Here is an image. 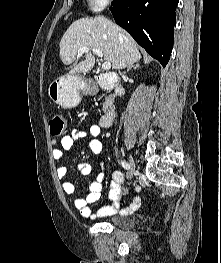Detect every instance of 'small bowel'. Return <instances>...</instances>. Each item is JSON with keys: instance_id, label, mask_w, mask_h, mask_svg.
<instances>
[{"instance_id": "small-bowel-1", "label": "small bowel", "mask_w": 221, "mask_h": 263, "mask_svg": "<svg viewBox=\"0 0 221 263\" xmlns=\"http://www.w3.org/2000/svg\"><path fill=\"white\" fill-rule=\"evenodd\" d=\"M101 126L98 124L92 125L88 130L80 128L73 129L68 135L64 136L59 142L54 141L52 147V156L55 160H60L64 156V151L71 150L77 141L85 140L88 148L96 155L101 156L103 154V144L98 139L101 134ZM101 169L104 170L105 162L100 160ZM78 171L82 176L90 175L92 167L89 164L78 165ZM68 169L65 166L57 168V177L61 181V188L67 195H74L76 192L75 185L67 180ZM105 178L104 172H100L95 179L89 185V193L84 198H77L75 200V207L80 211L82 216L91 217H105L114 215L116 213L129 214L139 209L141 205V198L135 196L131 203L126 207L120 205V185L125 182V177L120 171H115L112 174V181L110 183L109 199L110 205L100 208L96 213H93L90 209V205L96 203L102 194L103 181ZM136 190L139 187L136 186Z\"/></svg>"}]
</instances>
